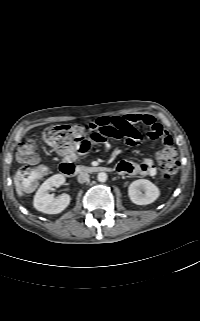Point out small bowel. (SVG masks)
I'll use <instances>...</instances> for the list:
<instances>
[{
	"mask_svg": "<svg viewBox=\"0 0 200 321\" xmlns=\"http://www.w3.org/2000/svg\"><path fill=\"white\" fill-rule=\"evenodd\" d=\"M93 125L96 127H112L117 133V138L123 139L129 146H136L139 144L141 140V130L143 128L147 129L148 138L162 141L165 145L164 150L170 148L173 144L170 134L150 114H128L115 117H100ZM106 148L108 149L109 145H106ZM62 153L70 163L76 159L75 154L71 152ZM116 171L122 175L154 176L157 169L154 161L147 157L140 163L121 161L116 165Z\"/></svg>",
	"mask_w": 200,
	"mask_h": 321,
	"instance_id": "1",
	"label": "small bowel"
}]
</instances>
